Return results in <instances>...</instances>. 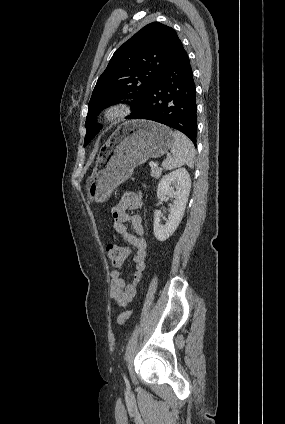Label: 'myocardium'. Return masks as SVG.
Instances as JSON below:
<instances>
[{
  "label": "myocardium",
  "mask_w": 285,
  "mask_h": 424,
  "mask_svg": "<svg viewBox=\"0 0 285 424\" xmlns=\"http://www.w3.org/2000/svg\"><path fill=\"white\" fill-rule=\"evenodd\" d=\"M132 112L129 102L120 100L109 104L102 112L101 118L104 124L113 125L128 117Z\"/></svg>",
  "instance_id": "f54148a6"
}]
</instances>
